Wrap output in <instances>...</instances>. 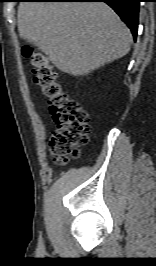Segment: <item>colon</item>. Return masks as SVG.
<instances>
[{"instance_id":"1","label":"colon","mask_w":156,"mask_h":266,"mask_svg":"<svg viewBox=\"0 0 156 266\" xmlns=\"http://www.w3.org/2000/svg\"><path fill=\"white\" fill-rule=\"evenodd\" d=\"M22 55L31 59L34 82L47 99L53 117L55 130L50 140L52 160L64 164L77 155V147L88 140L89 115L81 105L68 94L53 70L49 59L30 45L22 47Z\"/></svg>"}]
</instances>
